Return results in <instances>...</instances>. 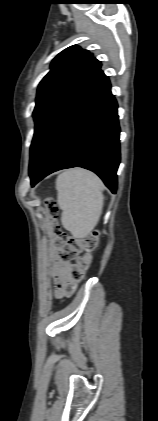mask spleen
I'll return each instance as SVG.
<instances>
[{"label": "spleen", "mask_w": 158, "mask_h": 421, "mask_svg": "<svg viewBox=\"0 0 158 421\" xmlns=\"http://www.w3.org/2000/svg\"><path fill=\"white\" fill-rule=\"evenodd\" d=\"M56 189L63 227L75 237H85L102 212L103 182L90 171L74 168L57 177Z\"/></svg>", "instance_id": "spleen-1"}]
</instances>
